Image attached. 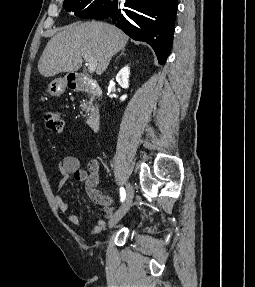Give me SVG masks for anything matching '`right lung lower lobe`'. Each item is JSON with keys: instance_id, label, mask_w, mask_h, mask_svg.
<instances>
[{"instance_id": "98d812e1", "label": "right lung lower lobe", "mask_w": 255, "mask_h": 287, "mask_svg": "<svg viewBox=\"0 0 255 287\" xmlns=\"http://www.w3.org/2000/svg\"><path fill=\"white\" fill-rule=\"evenodd\" d=\"M177 4V0H126V9L117 8L106 18L132 39L148 43L164 64L173 41Z\"/></svg>"}]
</instances>
